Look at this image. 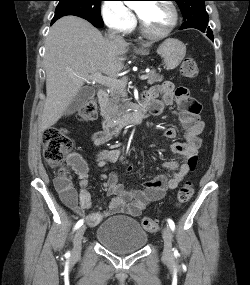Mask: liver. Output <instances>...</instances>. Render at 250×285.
Returning <instances> with one entry per match:
<instances>
[{"label":"liver","mask_w":250,"mask_h":285,"mask_svg":"<svg viewBox=\"0 0 250 285\" xmlns=\"http://www.w3.org/2000/svg\"><path fill=\"white\" fill-rule=\"evenodd\" d=\"M128 47L125 41L103 37L79 17L65 16L56 21L46 39L47 96L40 130L57 123L89 76L96 72L109 76L119 73Z\"/></svg>","instance_id":"1"}]
</instances>
